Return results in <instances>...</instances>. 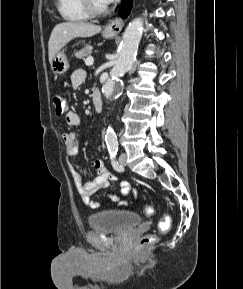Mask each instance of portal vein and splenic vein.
<instances>
[{
    "label": "portal vein and splenic vein",
    "mask_w": 243,
    "mask_h": 289,
    "mask_svg": "<svg viewBox=\"0 0 243 289\" xmlns=\"http://www.w3.org/2000/svg\"><path fill=\"white\" fill-rule=\"evenodd\" d=\"M93 62H94V59H93L92 56L87 57L86 60H85V64L87 66H91L93 64Z\"/></svg>",
    "instance_id": "obj_1"
}]
</instances>
